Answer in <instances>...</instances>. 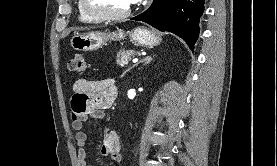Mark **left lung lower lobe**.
<instances>
[{"label": "left lung lower lobe", "mask_w": 277, "mask_h": 166, "mask_svg": "<svg viewBox=\"0 0 277 166\" xmlns=\"http://www.w3.org/2000/svg\"><path fill=\"white\" fill-rule=\"evenodd\" d=\"M203 12L204 0H153L150 8L132 20L175 33L193 48L199 36V20Z\"/></svg>", "instance_id": "left-lung-lower-lobe-1"}]
</instances>
